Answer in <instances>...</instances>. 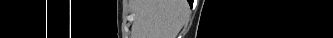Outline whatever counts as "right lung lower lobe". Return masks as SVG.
<instances>
[{"label":"right lung lower lobe","mask_w":333,"mask_h":38,"mask_svg":"<svg viewBox=\"0 0 333 38\" xmlns=\"http://www.w3.org/2000/svg\"><path fill=\"white\" fill-rule=\"evenodd\" d=\"M189 4L192 5V1L191 0H188Z\"/></svg>","instance_id":"1"}]
</instances>
